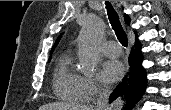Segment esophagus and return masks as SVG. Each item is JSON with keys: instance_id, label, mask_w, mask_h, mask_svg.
Masks as SVG:
<instances>
[{"instance_id": "1", "label": "esophagus", "mask_w": 171, "mask_h": 110, "mask_svg": "<svg viewBox=\"0 0 171 110\" xmlns=\"http://www.w3.org/2000/svg\"><path fill=\"white\" fill-rule=\"evenodd\" d=\"M128 70H129V67L127 66V72H128ZM114 107L115 108H120L121 107V105H122V101H121V99H117L115 102H114Z\"/></svg>"}]
</instances>
